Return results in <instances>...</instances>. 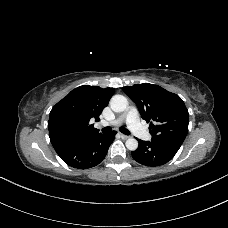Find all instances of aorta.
<instances>
[{
    "instance_id": "obj_1",
    "label": "aorta",
    "mask_w": 228,
    "mask_h": 228,
    "mask_svg": "<svg viewBox=\"0 0 228 228\" xmlns=\"http://www.w3.org/2000/svg\"><path fill=\"white\" fill-rule=\"evenodd\" d=\"M128 106V100L123 95H114L110 100V107L114 112H123ZM127 149L134 151L138 148V141L135 138H128L125 142Z\"/></svg>"
}]
</instances>
